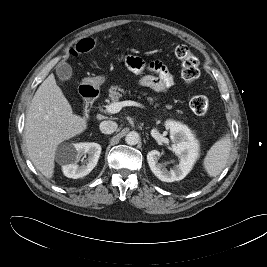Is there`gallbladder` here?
I'll return each instance as SVG.
<instances>
[{"instance_id":"1","label":"gallbladder","mask_w":267,"mask_h":267,"mask_svg":"<svg viewBox=\"0 0 267 267\" xmlns=\"http://www.w3.org/2000/svg\"><path fill=\"white\" fill-rule=\"evenodd\" d=\"M56 75L61 83L68 81L72 77V67L66 62L59 63L56 66Z\"/></svg>"}]
</instances>
